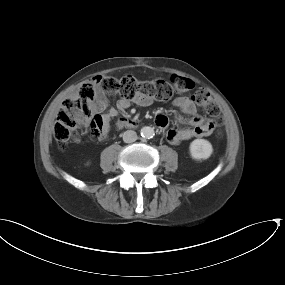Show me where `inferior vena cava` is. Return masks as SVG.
<instances>
[{
	"instance_id": "inferior-vena-cava-1",
	"label": "inferior vena cava",
	"mask_w": 285,
	"mask_h": 285,
	"mask_svg": "<svg viewBox=\"0 0 285 285\" xmlns=\"http://www.w3.org/2000/svg\"><path fill=\"white\" fill-rule=\"evenodd\" d=\"M137 140V133L133 130H127L123 133V141L125 143H132Z\"/></svg>"
}]
</instances>
